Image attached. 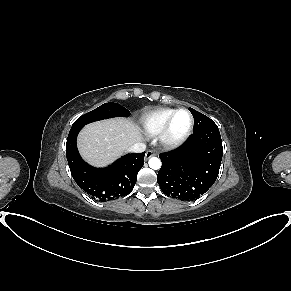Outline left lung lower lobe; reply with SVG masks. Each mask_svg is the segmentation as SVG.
<instances>
[{"label":"left lung lower lobe","instance_id":"1","mask_svg":"<svg viewBox=\"0 0 291 291\" xmlns=\"http://www.w3.org/2000/svg\"><path fill=\"white\" fill-rule=\"evenodd\" d=\"M223 155L218 127L193 133L175 150L159 155L157 182L172 198L191 201L206 193L217 179Z\"/></svg>","mask_w":291,"mask_h":291}]
</instances>
